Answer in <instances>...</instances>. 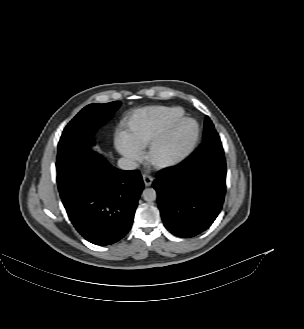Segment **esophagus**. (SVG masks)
<instances>
[{
    "mask_svg": "<svg viewBox=\"0 0 304 329\" xmlns=\"http://www.w3.org/2000/svg\"><path fill=\"white\" fill-rule=\"evenodd\" d=\"M143 181H144V184L145 186H151L152 183H153V177L150 176V175H147V174H143Z\"/></svg>",
    "mask_w": 304,
    "mask_h": 329,
    "instance_id": "34e87169",
    "label": "esophagus"
}]
</instances>
